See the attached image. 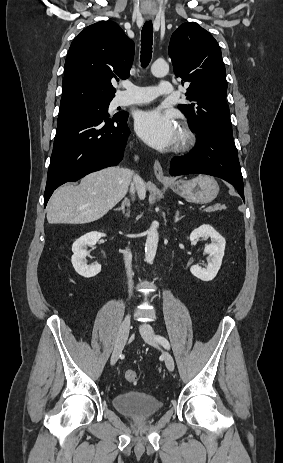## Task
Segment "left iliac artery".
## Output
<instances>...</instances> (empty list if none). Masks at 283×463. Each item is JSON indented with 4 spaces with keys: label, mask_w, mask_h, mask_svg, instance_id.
<instances>
[{
    "label": "left iliac artery",
    "mask_w": 283,
    "mask_h": 463,
    "mask_svg": "<svg viewBox=\"0 0 283 463\" xmlns=\"http://www.w3.org/2000/svg\"><path fill=\"white\" fill-rule=\"evenodd\" d=\"M156 340L161 344L163 345L166 349H169L170 348V344L168 342V340L166 338H164L163 336H156Z\"/></svg>",
    "instance_id": "obj_1"
}]
</instances>
